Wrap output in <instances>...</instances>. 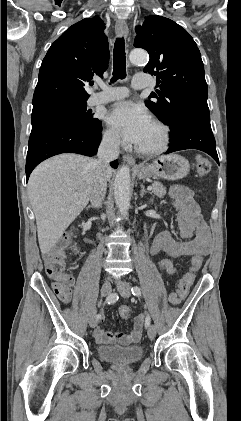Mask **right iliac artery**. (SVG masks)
Masks as SVG:
<instances>
[{"instance_id": "1", "label": "right iliac artery", "mask_w": 241, "mask_h": 421, "mask_svg": "<svg viewBox=\"0 0 241 421\" xmlns=\"http://www.w3.org/2000/svg\"><path fill=\"white\" fill-rule=\"evenodd\" d=\"M118 300V295L116 294H110L107 298H106V303L107 304H114L116 301ZM101 318L100 314L96 315V319L99 320Z\"/></svg>"}]
</instances>
